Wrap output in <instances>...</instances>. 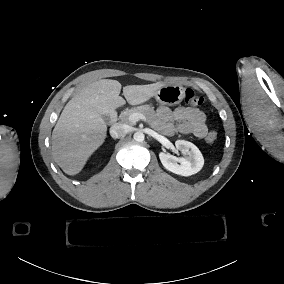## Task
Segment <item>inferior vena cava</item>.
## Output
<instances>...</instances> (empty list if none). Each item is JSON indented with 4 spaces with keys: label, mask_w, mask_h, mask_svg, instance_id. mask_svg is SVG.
<instances>
[{
    "label": "inferior vena cava",
    "mask_w": 284,
    "mask_h": 284,
    "mask_svg": "<svg viewBox=\"0 0 284 284\" xmlns=\"http://www.w3.org/2000/svg\"><path fill=\"white\" fill-rule=\"evenodd\" d=\"M129 131V127L123 123H116L110 128V134L113 138H120L127 134Z\"/></svg>",
    "instance_id": "1"
}]
</instances>
